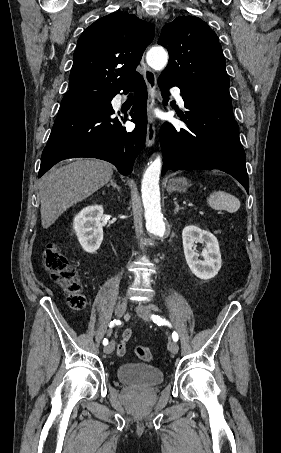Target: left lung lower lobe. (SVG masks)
<instances>
[{
    "label": "left lung lower lobe",
    "mask_w": 281,
    "mask_h": 453,
    "mask_svg": "<svg viewBox=\"0 0 281 453\" xmlns=\"http://www.w3.org/2000/svg\"><path fill=\"white\" fill-rule=\"evenodd\" d=\"M164 105L172 80L159 77ZM189 109L181 117L189 130L176 129L164 123L160 129L163 170L219 169L237 179L249 191L246 156L239 139L230 96H187L182 94ZM187 119V120H186Z\"/></svg>",
    "instance_id": "left-lung-lower-lobe-1"
}]
</instances>
